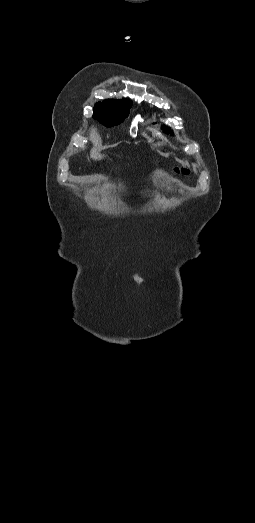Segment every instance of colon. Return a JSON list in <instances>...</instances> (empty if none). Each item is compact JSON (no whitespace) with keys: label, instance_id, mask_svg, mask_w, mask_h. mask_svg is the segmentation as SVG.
Returning a JSON list of instances; mask_svg holds the SVG:
<instances>
[{"label":"colon","instance_id":"colon-1","mask_svg":"<svg viewBox=\"0 0 255 523\" xmlns=\"http://www.w3.org/2000/svg\"><path fill=\"white\" fill-rule=\"evenodd\" d=\"M175 172L182 173V174H188V170L186 168H176Z\"/></svg>","mask_w":255,"mask_h":523}]
</instances>
